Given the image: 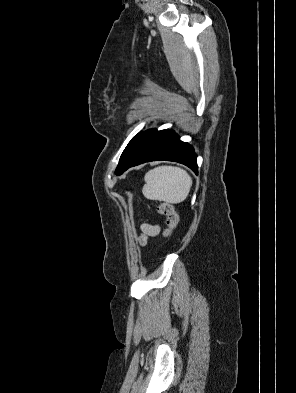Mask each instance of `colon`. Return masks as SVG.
<instances>
[{"label": "colon", "instance_id": "1", "mask_svg": "<svg viewBox=\"0 0 296 393\" xmlns=\"http://www.w3.org/2000/svg\"><path fill=\"white\" fill-rule=\"evenodd\" d=\"M157 211L165 217L166 229L164 231V236L170 237L178 224V215L175 208L170 203H161L158 206Z\"/></svg>", "mask_w": 296, "mask_h": 393}]
</instances>
